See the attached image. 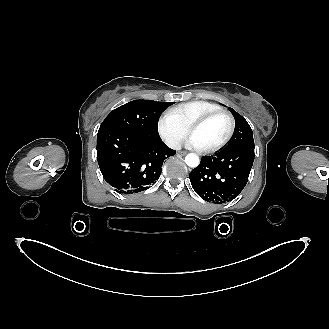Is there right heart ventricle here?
I'll return each instance as SVG.
<instances>
[{"mask_svg":"<svg viewBox=\"0 0 329 329\" xmlns=\"http://www.w3.org/2000/svg\"><path fill=\"white\" fill-rule=\"evenodd\" d=\"M222 109L217 103L195 100L186 103L179 104L169 111L186 127L195 121L196 119L211 113L216 110Z\"/></svg>","mask_w":329,"mask_h":329,"instance_id":"obj_1","label":"right heart ventricle"}]
</instances>
